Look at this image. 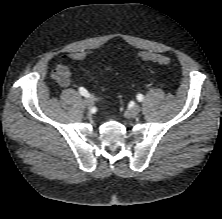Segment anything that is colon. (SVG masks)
<instances>
[{
	"label": "colon",
	"instance_id": "obj_1",
	"mask_svg": "<svg viewBox=\"0 0 222 219\" xmlns=\"http://www.w3.org/2000/svg\"><path fill=\"white\" fill-rule=\"evenodd\" d=\"M141 59L145 62H152L161 65H166L171 62V58L164 54L144 52L140 55Z\"/></svg>",
	"mask_w": 222,
	"mask_h": 219
}]
</instances>
